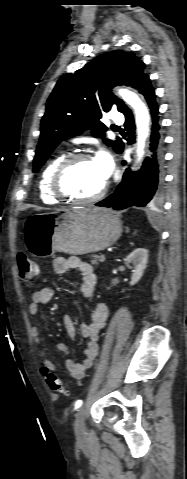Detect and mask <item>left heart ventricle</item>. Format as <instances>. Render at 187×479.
I'll return each mask as SVG.
<instances>
[{
    "label": "left heart ventricle",
    "mask_w": 187,
    "mask_h": 479,
    "mask_svg": "<svg viewBox=\"0 0 187 479\" xmlns=\"http://www.w3.org/2000/svg\"><path fill=\"white\" fill-rule=\"evenodd\" d=\"M93 159L77 162L67 173L64 186L67 191L78 197H90L105 184Z\"/></svg>",
    "instance_id": "obj_1"
}]
</instances>
